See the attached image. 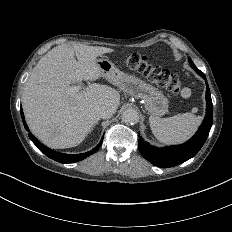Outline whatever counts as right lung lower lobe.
Here are the masks:
<instances>
[{
	"mask_svg": "<svg viewBox=\"0 0 232 232\" xmlns=\"http://www.w3.org/2000/svg\"><path fill=\"white\" fill-rule=\"evenodd\" d=\"M21 111V116H22V120L24 123V127L25 129L29 132V138L32 140V142L35 144V146L41 151L43 152L46 156H48L49 158L58 161L60 163H74V162H78L81 161L85 158H87L88 156L92 155L93 153H95L101 146L102 142H103V137L102 140L100 141V143L93 148L91 151L86 152V153H82V154H63V153H59L56 152L54 150H51L50 148L44 146L43 144H41L36 137H34L32 135V133H30L28 126L26 125L25 119H24V114L22 111V108H20Z\"/></svg>",
	"mask_w": 232,
	"mask_h": 232,
	"instance_id": "1",
	"label": "right lung lower lobe"
}]
</instances>
